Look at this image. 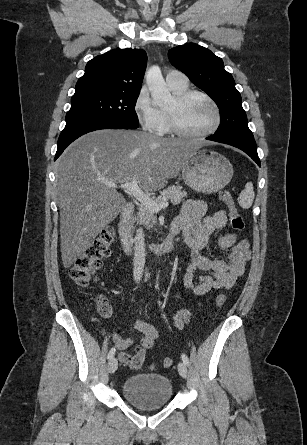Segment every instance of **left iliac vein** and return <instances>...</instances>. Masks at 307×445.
<instances>
[{
    "mask_svg": "<svg viewBox=\"0 0 307 445\" xmlns=\"http://www.w3.org/2000/svg\"><path fill=\"white\" fill-rule=\"evenodd\" d=\"M178 371H179V374L183 378L187 377L188 370H187V366H186V364L184 362H179V364H178Z\"/></svg>",
    "mask_w": 307,
    "mask_h": 445,
    "instance_id": "obj_1",
    "label": "left iliac vein"
}]
</instances>
